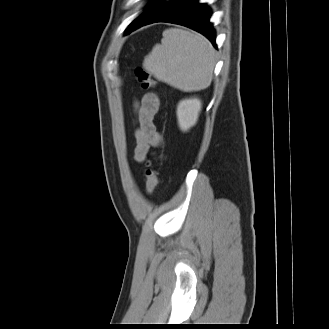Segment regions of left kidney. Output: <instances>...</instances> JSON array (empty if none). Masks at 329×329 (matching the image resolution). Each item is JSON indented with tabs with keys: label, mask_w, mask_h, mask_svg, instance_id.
I'll use <instances>...</instances> for the list:
<instances>
[{
	"label": "left kidney",
	"mask_w": 329,
	"mask_h": 329,
	"mask_svg": "<svg viewBox=\"0 0 329 329\" xmlns=\"http://www.w3.org/2000/svg\"><path fill=\"white\" fill-rule=\"evenodd\" d=\"M202 103L197 98L184 99L177 106V119L179 128L186 132L193 127L199 117Z\"/></svg>",
	"instance_id": "5707ae66"
}]
</instances>
